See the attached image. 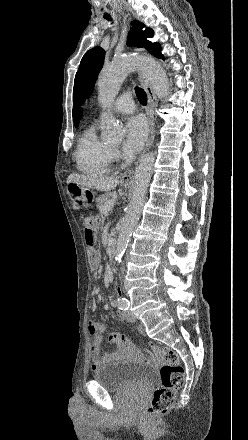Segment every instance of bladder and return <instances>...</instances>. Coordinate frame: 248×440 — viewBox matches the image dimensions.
Listing matches in <instances>:
<instances>
[{
	"instance_id": "bladder-1",
	"label": "bladder",
	"mask_w": 248,
	"mask_h": 440,
	"mask_svg": "<svg viewBox=\"0 0 248 440\" xmlns=\"http://www.w3.org/2000/svg\"><path fill=\"white\" fill-rule=\"evenodd\" d=\"M155 377L153 368L133 362L119 360L106 363L96 369L93 379L111 391L148 390Z\"/></svg>"
}]
</instances>
